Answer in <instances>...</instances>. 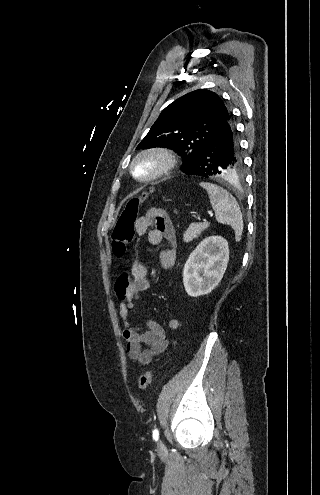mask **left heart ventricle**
<instances>
[{"mask_svg":"<svg viewBox=\"0 0 320 495\" xmlns=\"http://www.w3.org/2000/svg\"><path fill=\"white\" fill-rule=\"evenodd\" d=\"M156 168V162L152 160L143 161L137 166V171L140 174H148Z\"/></svg>","mask_w":320,"mask_h":495,"instance_id":"obj_1","label":"left heart ventricle"}]
</instances>
